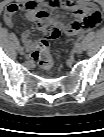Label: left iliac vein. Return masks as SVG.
<instances>
[{"mask_svg":"<svg viewBox=\"0 0 104 137\" xmlns=\"http://www.w3.org/2000/svg\"><path fill=\"white\" fill-rule=\"evenodd\" d=\"M82 51H83L82 46H81L80 44H77V45L75 46V52H76L77 54H80V53H82Z\"/></svg>","mask_w":104,"mask_h":137,"instance_id":"4c4485c4","label":"left iliac vein"}]
</instances>
